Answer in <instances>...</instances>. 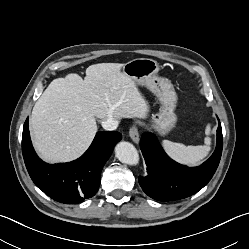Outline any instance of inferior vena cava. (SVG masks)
<instances>
[{"label":"inferior vena cava","mask_w":249,"mask_h":249,"mask_svg":"<svg viewBox=\"0 0 249 249\" xmlns=\"http://www.w3.org/2000/svg\"><path fill=\"white\" fill-rule=\"evenodd\" d=\"M101 125H102L104 130L112 131V130H115L117 128L118 121L116 119H113V118H108L106 120H103L101 122Z\"/></svg>","instance_id":"inferior-vena-cava-1"}]
</instances>
